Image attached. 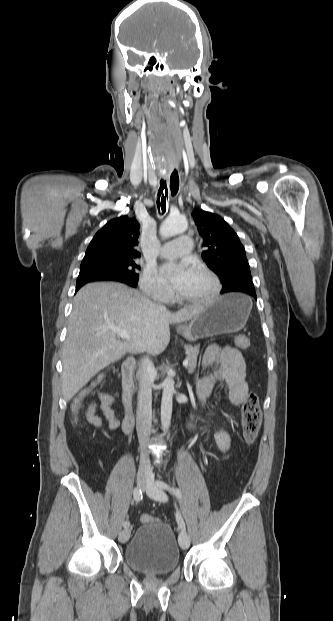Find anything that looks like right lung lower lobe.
<instances>
[{"label": "right lung lower lobe", "instance_id": "1", "mask_svg": "<svg viewBox=\"0 0 333 621\" xmlns=\"http://www.w3.org/2000/svg\"><path fill=\"white\" fill-rule=\"evenodd\" d=\"M92 281H95V280H90V279H82V280H77L76 292H77V291H78V290H79V289H80V288H81L84 284H86V283H88V282H92ZM120 282H121V281H120ZM123 283H125V282H123ZM126 284H127V283H126ZM128 285H129V286H132V287H136V285H131V284H128Z\"/></svg>", "mask_w": 333, "mask_h": 621}]
</instances>
